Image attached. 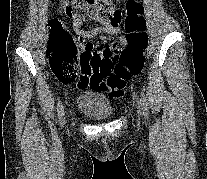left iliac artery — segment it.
I'll return each instance as SVG.
<instances>
[{"label":"left iliac artery","mask_w":207,"mask_h":179,"mask_svg":"<svg viewBox=\"0 0 207 179\" xmlns=\"http://www.w3.org/2000/svg\"><path fill=\"white\" fill-rule=\"evenodd\" d=\"M140 103L142 105L144 115L147 117L148 116V107H147V103H146V97L143 92L141 93Z\"/></svg>","instance_id":"1"}]
</instances>
